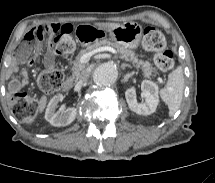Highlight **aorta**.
Segmentation results:
<instances>
[{"instance_id": "762f6f07", "label": "aorta", "mask_w": 215, "mask_h": 183, "mask_svg": "<svg viewBox=\"0 0 215 183\" xmlns=\"http://www.w3.org/2000/svg\"><path fill=\"white\" fill-rule=\"evenodd\" d=\"M118 78V69L115 64L105 62L96 67L93 72V80L97 85L109 86Z\"/></svg>"}]
</instances>
